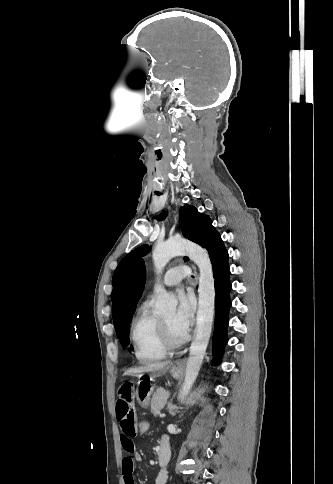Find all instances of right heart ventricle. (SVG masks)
Returning <instances> with one entry per match:
<instances>
[{"mask_svg":"<svg viewBox=\"0 0 333 484\" xmlns=\"http://www.w3.org/2000/svg\"><path fill=\"white\" fill-rule=\"evenodd\" d=\"M131 339L135 356L142 363L158 361L167 353L159 336L158 317L151 311L149 300L139 306L132 320Z\"/></svg>","mask_w":333,"mask_h":484,"instance_id":"right-heart-ventricle-1","label":"right heart ventricle"}]
</instances>
